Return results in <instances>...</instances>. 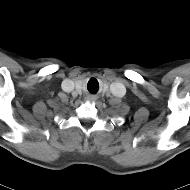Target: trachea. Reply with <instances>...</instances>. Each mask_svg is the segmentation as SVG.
Instances as JSON below:
<instances>
[{"mask_svg": "<svg viewBox=\"0 0 190 190\" xmlns=\"http://www.w3.org/2000/svg\"><path fill=\"white\" fill-rule=\"evenodd\" d=\"M91 82V81H90ZM94 87L93 86H91V83L89 84L88 83V90L91 92V93H95V92H93L94 91Z\"/></svg>", "mask_w": 190, "mask_h": 190, "instance_id": "3493384b", "label": "trachea"}]
</instances>
